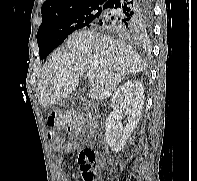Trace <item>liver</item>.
Returning a JSON list of instances; mask_svg holds the SVG:
<instances>
[{"mask_svg":"<svg viewBox=\"0 0 197 181\" xmlns=\"http://www.w3.org/2000/svg\"><path fill=\"white\" fill-rule=\"evenodd\" d=\"M66 48L68 50H56L45 64L38 84L42 107L69 97L86 72L95 73L90 96L102 100L112 96L127 75L147 67L132 46L94 31L85 30L70 35Z\"/></svg>","mask_w":197,"mask_h":181,"instance_id":"1","label":"liver"}]
</instances>
